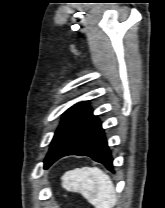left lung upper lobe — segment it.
I'll return each mask as SVG.
<instances>
[{
  "instance_id": "obj_1",
  "label": "left lung upper lobe",
  "mask_w": 165,
  "mask_h": 208,
  "mask_svg": "<svg viewBox=\"0 0 165 208\" xmlns=\"http://www.w3.org/2000/svg\"><path fill=\"white\" fill-rule=\"evenodd\" d=\"M92 117L93 113L88 101L79 102L64 112L61 124L55 132L50 150L45 158V169L64 156L82 127Z\"/></svg>"
}]
</instances>
